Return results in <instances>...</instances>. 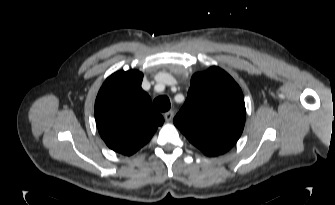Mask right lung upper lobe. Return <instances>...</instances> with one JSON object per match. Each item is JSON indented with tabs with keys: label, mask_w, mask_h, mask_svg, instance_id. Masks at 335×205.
<instances>
[{
	"label": "right lung upper lobe",
	"mask_w": 335,
	"mask_h": 205,
	"mask_svg": "<svg viewBox=\"0 0 335 205\" xmlns=\"http://www.w3.org/2000/svg\"><path fill=\"white\" fill-rule=\"evenodd\" d=\"M142 79L137 70L115 72L103 83L95 101L100 136L109 148L123 155L138 151L164 123L142 90Z\"/></svg>",
	"instance_id": "obj_1"
}]
</instances>
